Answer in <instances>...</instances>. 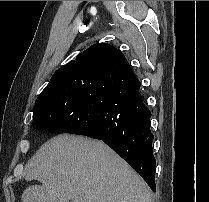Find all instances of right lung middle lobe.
I'll return each instance as SVG.
<instances>
[{"instance_id":"obj_1","label":"right lung middle lobe","mask_w":209,"mask_h":202,"mask_svg":"<svg viewBox=\"0 0 209 202\" xmlns=\"http://www.w3.org/2000/svg\"><path fill=\"white\" fill-rule=\"evenodd\" d=\"M92 78L89 74L78 73L51 79L35 102L33 120L36 126L47 132L62 130L67 119L77 111Z\"/></svg>"}]
</instances>
